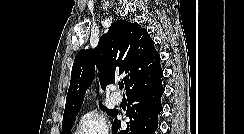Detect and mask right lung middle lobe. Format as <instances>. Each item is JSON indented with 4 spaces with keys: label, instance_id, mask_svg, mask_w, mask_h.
Listing matches in <instances>:
<instances>
[{
    "label": "right lung middle lobe",
    "instance_id": "right-lung-middle-lobe-1",
    "mask_svg": "<svg viewBox=\"0 0 244 134\" xmlns=\"http://www.w3.org/2000/svg\"><path fill=\"white\" fill-rule=\"evenodd\" d=\"M100 108L104 111L107 112V114H109L110 116H115L118 112L117 110L113 109V110H110V109H107L106 107L100 105ZM76 116H71V117H68V118H63V123H62V134H69L70 131H71V128L74 124V121L76 119Z\"/></svg>",
    "mask_w": 244,
    "mask_h": 134
}]
</instances>
